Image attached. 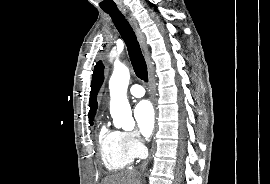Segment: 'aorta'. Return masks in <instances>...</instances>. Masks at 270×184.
<instances>
[{"label":"aorta","instance_id":"obj_1","mask_svg":"<svg viewBox=\"0 0 270 184\" xmlns=\"http://www.w3.org/2000/svg\"><path fill=\"white\" fill-rule=\"evenodd\" d=\"M130 72L127 66L116 64L109 81L110 113L117 128L132 130L135 121L127 99Z\"/></svg>","mask_w":270,"mask_h":184}]
</instances>
